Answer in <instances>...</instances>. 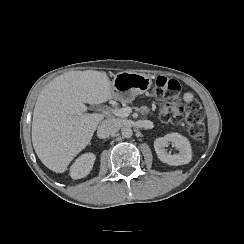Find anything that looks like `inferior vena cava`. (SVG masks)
<instances>
[{"label":"inferior vena cava","instance_id":"1","mask_svg":"<svg viewBox=\"0 0 244 244\" xmlns=\"http://www.w3.org/2000/svg\"><path fill=\"white\" fill-rule=\"evenodd\" d=\"M120 129V125L116 120L106 119L103 120L98 126V136L101 138H107L111 134L116 133Z\"/></svg>","mask_w":244,"mask_h":244}]
</instances>
